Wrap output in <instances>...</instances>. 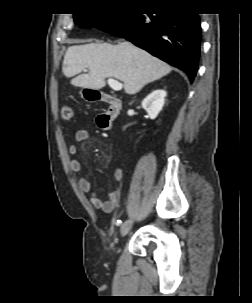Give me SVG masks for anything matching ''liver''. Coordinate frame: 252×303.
Segmentation results:
<instances>
[{
    "label": "liver",
    "mask_w": 252,
    "mask_h": 303,
    "mask_svg": "<svg viewBox=\"0 0 252 303\" xmlns=\"http://www.w3.org/2000/svg\"><path fill=\"white\" fill-rule=\"evenodd\" d=\"M85 69L88 72L80 74ZM171 70L164 61L127 41L117 45L90 43L70 46L62 67L66 77L75 76L71 80L74 86L101 89L106 85V78H116L124 83L125 92L131 95Z\"/></svg>",
    "instance_id": "liver-1"
}]
</instances>
